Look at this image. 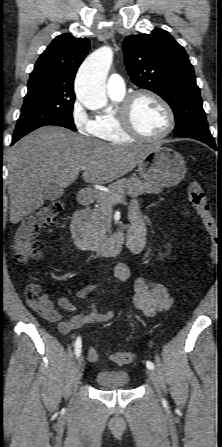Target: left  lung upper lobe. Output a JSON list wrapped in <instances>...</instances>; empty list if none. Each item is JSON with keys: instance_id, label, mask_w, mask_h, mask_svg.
I'll return each instance as SVG.
<instances>
[{"instance_id": "5c2ea615", "label": "left lung upper lobe", "mask_w": 222, "mask_h": 447, "mask_svg": "<svg viewBox=\"0 0 222 447\" xmlns=\"http://www.w3.org/2000/svg\"><path fill=\"white\" fill-rule=\"evenodd\" d=\"M124 61L139 87L161 96L172 108L176 137L213 140L202 107L193 66L184 48L165 30L124 39Z\"/></svg>"}]
</instances>
